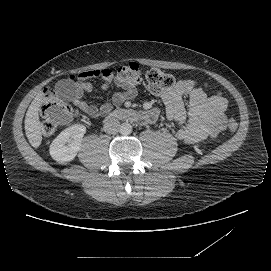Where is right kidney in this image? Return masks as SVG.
<instances>
[{"label": "right kidney", "instance_id": "right-kidney-1", "mask_svg": "<svg viewBox=\"0 0 271 271\" xmlns=\"http://www.w3.org/2000/svg\"><path fill=\"white\" fill-rule=\"evenodd\" d=\"M85 133L86 127L82 124H75L63 130L50 145L51 157L60 164L73 160Z\"/></svg>", "mask_w": 271, "mask_h": 271}]
</instances>
